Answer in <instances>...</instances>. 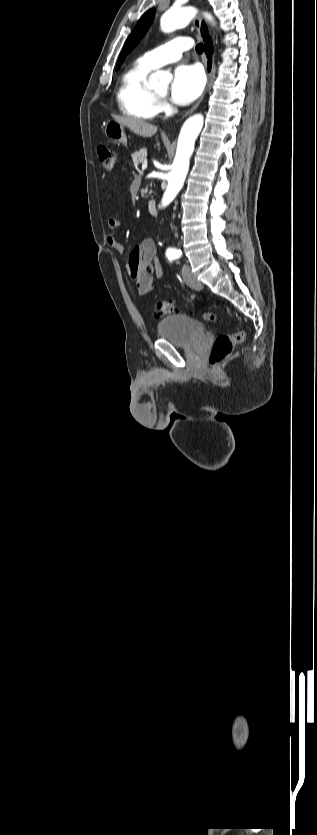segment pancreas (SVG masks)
Instances as JSON below:
<instances>
[{
  "instance_id": "pancreas-1",
  "label": "pancreas",
  "mask_w": 317,
  "mask_h": 835,
  "mask_svg": "<svg viewBox=\"0 0 317 835\" xmlns=\"http://www.w3.org/2000/svg\"><path fill=\"white\" fill-rule=\"evenodd\" d=\"M131 157L135 168H137L140 163H144L147 161V149L143 148L140 151L133 153ZM145 192L146 190L142 192L143 197Z\"/></svg>"
}]
</instances>
